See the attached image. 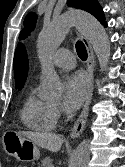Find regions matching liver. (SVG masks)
<instances>
[{"mask_svg": "<svg viewBox=\"0 0 125 167\" xmlns=\"http://www.w3.org/2000/svg\"><path fill=\"white\" fill-rule=\"evenodd\" d=\"M17 134L28 138L35 145L40 146L42 148H46L52 152L59 151L63 143V139L61 138V136L53 133L20 131L17 132Z\"/></svg>", "mask_w": 125, "mask_h": 167, "instance_id": "obj_1", "label": "liver"}]
</instances>
